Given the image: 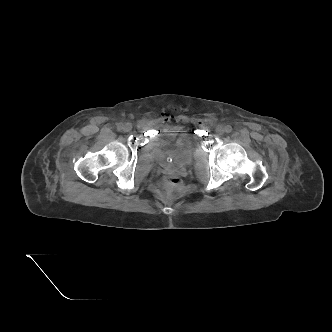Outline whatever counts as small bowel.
<instances>
[{"instance_id": "obj_1", "label": "small bowel", "mask_w": 332, "mask_h": 332, "mask_svg": "<svg viewBox=\"0 0 332 332\" xmlns=\"http://www.w3.org/2000/svg\"><path fill=\"white\" fill-rule=\"evenodd\" d=\"M162 131L166 134H177V133H181V135L185 132L184 130H182V128L178 125H163L162 126ZM180 139V138H179Z\"/></svg>"}]
</instances>
